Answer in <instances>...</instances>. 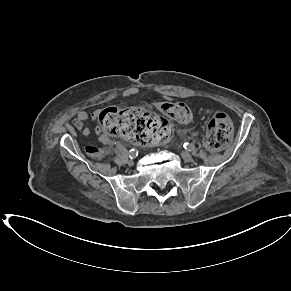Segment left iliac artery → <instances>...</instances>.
<instances>
[{
	"instance_id": "1",
	"label": "left iliac artery",
	"mask_w": 291,
	"mask_h": 291,
	"mask_svg": "<svg viewBox=\"0 0 291 291\" xmlns=\"http://www.w3.org/2000/svg\"><path fill=\"white\" fill-rule=\"evenodd\" d=\"M183 146L186 150H189V151H191L194 148V145L190 143H184Z\"/></svg>"
}]
</instances>
